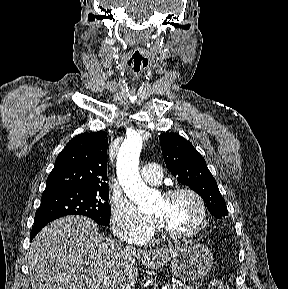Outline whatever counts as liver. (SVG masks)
I'll use <instances>...</instances> for the list:
<instances>
[{"instance_id":"6515ba94","label":"liver","mask_w":288,"mask_h":289,"mask_svg":"<svg viewBox=\"0 0 288 289\" xmlns=\"http://www.w3.org/2000/svg\"><path fill=\"white\" fill-rule=\"evenodd\" d=\"M177 248L122 247L98 232L97 224L71 215L51 222L33 239L29 251L32 289H134L137 260L163 267Z\"/></svg>"}]
</instances>
